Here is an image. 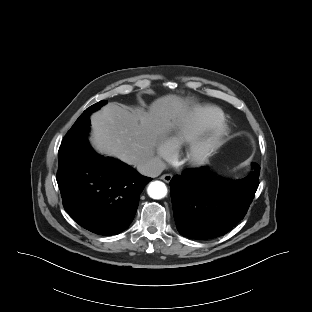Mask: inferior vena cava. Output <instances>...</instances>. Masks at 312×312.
Returning a JSON list of instances; mask_svg holds the SVG:
<instances>
[{"label": "inferior vena cava", "instance_id": "obj_1", "mask_svg": "<svg viewBox=\"0 0 312 312\" xmlns=\"http://www.w3.org/2000/svg\"><path fill=\"white\" fill-rule=\"evenodd\" d=\"M165 167V163L159 157L144 159L137 164L138 172L148 177H157Z\"/></svg>", "mask_w": 312, "mask_h": 312}]
</instances>
